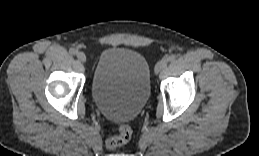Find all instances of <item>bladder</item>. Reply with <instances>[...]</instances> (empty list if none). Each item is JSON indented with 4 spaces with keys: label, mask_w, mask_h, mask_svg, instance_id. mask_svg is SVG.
<instances>
[{
    "label": "bladder",
    "mask_w": 259,
    "mask_h": 156,
    "mask_svg": "<svg viewBox=\"0 0 259 156\" xmlns=\"http://www.w3.org/2000/svg\"><path fill=\"white\" fill-rule=\"evenodd\" d=\"M90 90L94 103L105 117L117 122L132 120L150 96V67L146 58L122 47L103 50Z\"/></svg>",
    "instance_id": "bladder-1"
}]
</instances>
